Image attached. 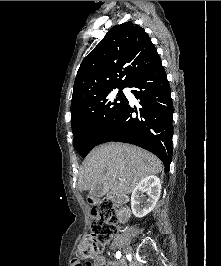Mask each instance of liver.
<instances>
[{
  "label": "liver",
  "instance_id": "1",
  "mask_svg": "<svg viewBox=\"0 0 221 266\" xmlns=\"http://www.w3.org/2000/svg\"><path fill=\"white\" fill-rule=\"evenodd\" d=\"M161 171L162 162L152 153L134 145L110 142L89 153L80 170L78 187L83 191L102 184L105 192L125 195L144 177Z\"/></svg>",
  "mask_w": 221,
  "mask_h": 266
}]
</instances>
